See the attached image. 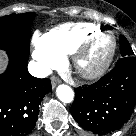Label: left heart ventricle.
Returning <instances> with one entry per match:
<instances>
[{"label": "left heart ventricle", "instance_id": "1", "mask_svg": "<svg viewBox=\"0 0 136 136\" xmlns=\"http://www.w3.org/2000/svg\"><path fill=\"white\" fill-rule=\"evenodd\" d=\"M112 46V38L109 35L100 37L83 58L81 66L84 69H92L99 65L108 55Z\"/></svg>", "mask_w": 136, "mask_h": 136}]
</instances>
